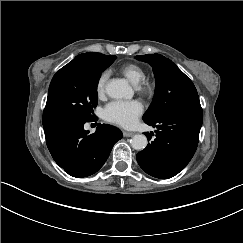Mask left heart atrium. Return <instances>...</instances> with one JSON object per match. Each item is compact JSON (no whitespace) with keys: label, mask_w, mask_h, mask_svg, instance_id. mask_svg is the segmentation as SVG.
<instances>
[{"label":"left heart atrium","mask_w":243,"mask_h":243,"mask_svg":"<svg viewBox=\"0 0 243 243\" xmlns=\"http://www.w3.org/2000/svg\"><path fill=\"white\" fill-rule=\"evenodd\" d=\"M142 113L143 104L139 100H115L111 101L103 108L102 117L108 122L128 126Z\"/></svg>","instance_id":"39dd6f15"}]
</instances>
